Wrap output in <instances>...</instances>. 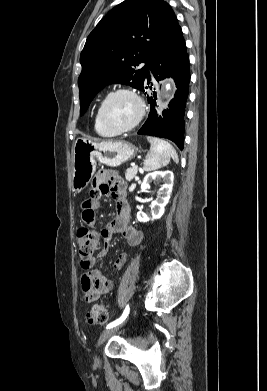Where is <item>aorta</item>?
Instances as JSON below:
<instances>
[{
  "mask_svg": "<svg viewBox=\"0 0 267 391\" xmlns=\"http://www.w3.org/2000/svg\"><path fill=\"white\" fill-rule=\"evenodd\" d=\"M166 88H167V89H170V85H166Z\"/></svg>",
  "mask_w": 267,
  "mask_h": 391,
  "instance_id": "obj_1",
  "label": "aorta"
}]
</instances>
